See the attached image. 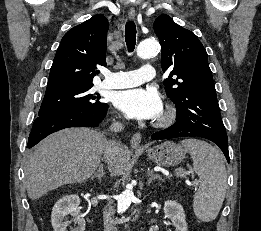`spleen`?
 <instances>
[{"label": "spleen", "mask_w": 261, "mask_h": 231, "mask_svg": "<svg viewBox=\"0 0 261 231\" xmlns=\"http://www.w3.org/2000/svg\"><path fill=\"white\" fill-rule=\"evenodd\" d=\"M193 160V169L200 178V186L193 200L194 213L204 222L214 220L223 204L227 189V173L221 152L209 143L198 139L181 141ZM176 175H185L179 168Z\"/></svg>", "instance_id": "3e777b00"}]
</instances>
